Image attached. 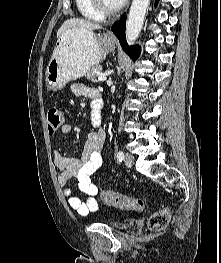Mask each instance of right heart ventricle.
Segmentation results:
<instances>
[{
  "label": "right heart ventricle",
  "instance_id": "e07e8e85",
  "mask_svg": "<svg viewBox=\"0 0 221 263\" xmlns=\"http://www.w3.org/2000/svg\"><path fill=\"white\" fill-rule=\"evenodd\" d=\"M78 11L85 18L92 21H102L104 16L101 15L91 4L90 0H75Z\"/></svg>",
  "mask_w": 221,
  "mask_h": 263
}]
</instances>
